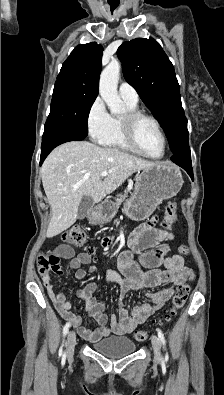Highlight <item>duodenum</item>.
<instances>
[{
  "instance_id": "duodenum-1",
  "label": "duodenum",
  "mask_w": 224,
  "mask_h": 395,
  "mask_svg": "<svg viewBox=\"0 0 224 395\" xmlns=\"http://www.w3.org/2000/svg\"><path fill=\"white\" fill-rule=\"evenodd\" d=\"M108 244H110V240H109L108 238H106V239L104 240V245H108Z\"/></svg>"
}]
</instances>
